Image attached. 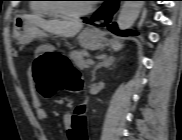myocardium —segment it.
Here are the masks:
<instances>
[{
  "instance_id": "myocardium-1",
  "label": "myocardium",
  "mask_w": 182,
  "mask_h": 140,
  "mask_svg": "<svg viewBox=\"0 0 182 140\" xmlns=\"http://www.w3.org/2000/svg\"><path fill=\"white\" fill-rule=\"evenodd\" d=\"M58 1H61V0H58ZM54 6H55V10L57 14L66 19L81 18L87 15L88 13H90L92 10V4H87L86 7L76 12L67 10L65 5L62 2H57L56 4H54Z\"/></svg>"
}]
</instances>
